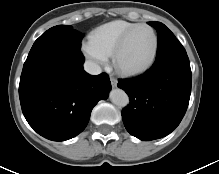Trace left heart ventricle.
Returning a JSON list of instances; mask_svg holds the SVG:
<instances>
[{
    "label": "left heart ventricle",
    "mask_w": 219,
    "mask_h": 174,
    "mask_svg": "<svg viewBox=\"0 0 219 174\" xmlns=\"http://www.w3.org/2000/svg\"><path fill=\"white\" fill-rule=\"evenodd\" d=\"M153 48V33L148 28H140L129 39L119 63L124 68L140 67L149 61Z\"/></svg>",
    "instance_id": "left-heart-ventricle-1"
}]
</instances>
